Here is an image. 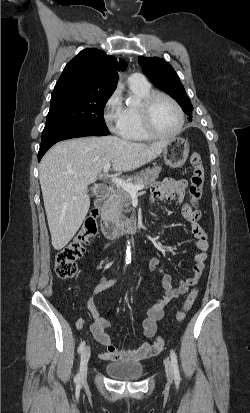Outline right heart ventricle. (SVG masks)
<instances>
[{
	"label": "right heart ventricle",
	"mask_w": 250,
	"mask_h": 413,
	"mask_svg": "<svg viewBox=\"0 0 250 413\" xmlns=\"http://www.w3.org/2000/svg\"><path fill=\"white\" fill-rule=\"evenodd\" d=\"M129 87L139 102L124 108V125L121 135L132 141H147L151 138L143 129L139 105L141 100L152 91V88L148 83L143 85L129 84Z\"/></svg>",
	"instance_id": "right-heart-ventricle-1"
}]
</instances>
